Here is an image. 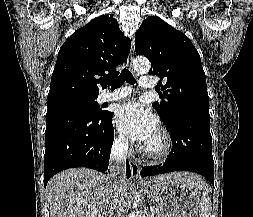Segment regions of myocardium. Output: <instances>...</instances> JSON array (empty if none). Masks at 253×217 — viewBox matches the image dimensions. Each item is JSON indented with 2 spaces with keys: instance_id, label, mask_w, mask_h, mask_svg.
I'll list each match as a JSON object with an SVG mask.
<instances>
[{
  "instance_id": "f54148a6",
  "label": "myocardium",
  "mask_w": 253,
  "mask_h": 217,
  "mask_svg": "<svg viewBox=\"0 0 253 217\" xmlns=\"http://www.w3.org/2000/svg\"><path fill=\"white\" fill-rule=\"evenodd\" d=\"M157 132L160 139V145L157 149L151 150L146 146H142L143 154L148 159L154 161H160L165 159L170 154L172 148L171 138L167 130H165L164 128H159Z\"/></svg>"
}]
</instances>
